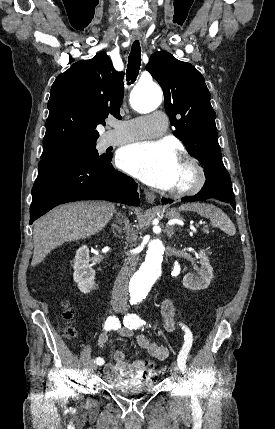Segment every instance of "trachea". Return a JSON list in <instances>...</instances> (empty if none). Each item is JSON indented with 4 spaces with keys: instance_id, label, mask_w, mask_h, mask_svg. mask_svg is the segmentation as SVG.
Segmentation results:
<instances>
[{
    "instance_id": "3493384b",
    "label": "trachea",
    "mask_w": 275,
    "mask_h": 429,
    "mask_svg": "<svg viewBox=\"0 0 275 429\" xmlns=\"http://www.w3.org/2000/svg\"><path fill=\"white\" fill-rule=\"evenodd\" d=\"M141 65V48L139 41L136 40L132 44L131 53L128 57V65L126 71V80L128 84L135 82ZM130 81V82H129Z\"/></svg>"
}]
</instances>
